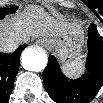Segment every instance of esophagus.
<instances>
[{"mask_svg": "<svg viewBox=\"0 0 103 103\" xmlns=\"http://www.w3.org/2000/svg\"><path fill=\"white\" fill-rule=\"evenodd\" d=\"M38 42H39L40 44H42V43L45 42V40H44L43 38H40V39L38 40Z\"/></svg>", "mask_w": 103, "mask_h": 103, "instance_id": "34e87169", "label": "esophagus"}]
</instances>
